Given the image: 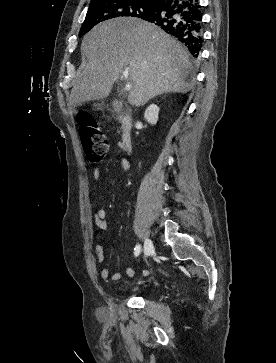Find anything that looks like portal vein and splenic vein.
<instances>
[{
  "label": "portal vein and splenic vein",
  "instance_id": "portal-vein-and-splenic-vein-1",
  "mask_svg": "<svg viewBox=\"0 0 276 363\" xmlns=\"http://www.w3.org/2000/svg\"><path fill=\"white\" fill-rule=\"evenodd\" d=\"M124 79L128 80V75H124ZM132 88V85L129 82H126L125 84V90H130Z\"/></svg>",
  "mask_w": 276,
  "mask_h": 363
}]
</instances>
